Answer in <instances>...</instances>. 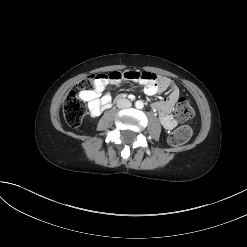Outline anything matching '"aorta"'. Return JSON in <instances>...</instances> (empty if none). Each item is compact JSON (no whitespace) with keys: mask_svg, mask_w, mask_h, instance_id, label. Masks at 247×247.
<instances>
[{"mask_svg":"<svg viewBox=\"0 0 247 247\" xmlns=\"http://www.w3.org/2000/svg\"><path fill=\"white\" fill-rule=\"evenodd\" d=\"M135 107H136L137 109H142V108L144 107L143 101H141V100L136 101V102H135Z\"/></svg>","mask_w":247,"mask_h":247,"instance_id":"762f6f07","label":"aorta"}]
</instances>
